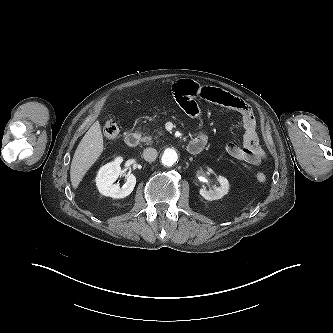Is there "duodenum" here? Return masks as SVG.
I'll return each instance as SVG.
<instances>
[{
  "label": "duodenum",
  "instance_id": "410a0bca",
  "mask_svg": "<svg viewBox=\"0 0 333 333\" xmlns=\"http://www.w3.org/2000/svg\"><path fill=\"white\" fill-rule=\"evenodd\" d=\"M140 142V135L136 132H130L125 136V143L128 147L134 148ZM206 142L201 139H193L189 142L187 150L191 154H199L205 147Z\"/></svg>",
  "mask_w": 333,
  "mask_h": 333
}]
</instances>
